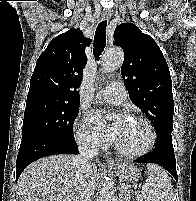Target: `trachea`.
I'll return each instance as SVG.
<instances>
[{"mask_svg": "<svg viewBox=\"0 0 196 201\" xmlns=\"http://www.w3.org/2000/svg\"><path fill=\"white\" fill-rule=\"evenodd\" d=\"M106 26L107 21H101L95 31L93 54L96 60L99 59L106 46Z\"/></svg>", "mask_w": 196, "mask_h": 201, "instance_id": "trachea-1", "label": "trachea"}]
</instances>
